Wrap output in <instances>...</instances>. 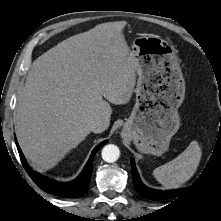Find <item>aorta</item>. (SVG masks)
<instances>
[{"mask_svg":"<svg viewBox=\"0 0 221 221\" xmlns=\"http://www.w3.org/2000/svg\"><path fill=\"white\" fill-rule=\"evenodd\" d=\"M101 155L104 161L113 163L118 160L120 150L116 145L109 144L103 148Z\"/></svg>","mask_w":221,"mask_h":221,"instance_id":"obj_1","label":"aorta"}]
</instances>
